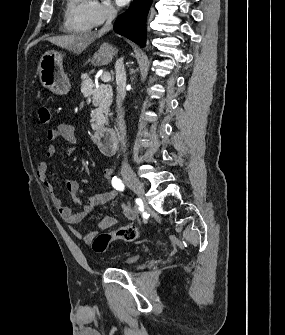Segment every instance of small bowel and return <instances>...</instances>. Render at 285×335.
Wrapping results in <instances>:
<instances>
[{
  "label": "small bowel",
  "mask_w": 285,
  "mask_h": 335,
  "mask_svg": "<svg viewBox=\"0 0 285 335\" xmlns=\"http://www.w3.org/2000/svg\"><path fill=\"white\" fill-rule=\"evenodd\" d=\"M46 139L50 142L45 150V155L47 157V161L42 162L37 168V177L43 184L45 190L49 194L53 205L56 207L60 217L66 221L68 224L74 226L81 223L84 218L92 213L98 205L108 203L115 199L118 195L117 191L114 189H110L106 192L98 194L94 197H88L77 185L75 181H66L65 189L66 191L76 197L78 199H88L87 203L82 204V209L78 212L73 211L69 206L64 204L58 193L56 192L54 186L48 179L49 172V161L56 154V146L52 143L58 139H63L67 143L71 145V147L67 150V154L69 156L73 155L77 149V138L74 131V128L69 123H61L57 125L55 128L49 130L46 135ZM105 178L112 183V172L110 169L106 168L103 171ZM122 209L124 217L127 220H133L136 217V212L129 202H122ZM117 219L111 216L104 217L100 224L99 228L102 230L109 229L116 225ZM74 234L85 244H90L94 236L95 232L88 234H81L76 230H73Z\"/></svg>",
  "instance_id": "1"
}]
</instances>
